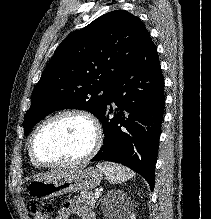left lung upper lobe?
Returning <instances> with one entry per match:
<instances>
[{"instance_id": "obj_1", "label": "left lung upper lobe", "mask_w": 211, "mask_h": 219, "mask_svg": "<svg viewBox=\"0 0 211 219\" xmlns=\"http://www.w3.org/2000/svg\"><path fill=\"white\" fill-rule=\"evenodd\" d=\"M148 39L142 21L124 10L106 13L69 35L33 90L25 134L60 109H83L98 118L112 86Z\"/></svg>"}]
</instances>
